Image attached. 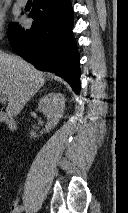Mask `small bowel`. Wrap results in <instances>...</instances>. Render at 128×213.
I'll use <instances>...</instances> for the list:
<instances>
[{"instance_id": "small-bowel-1", "label": "small bowel", "mask_w": 128, "mask_h": 213, "mask_svg": "<svg viewBox=\"0 0 128 213\" xmlns=\"http://www.w3.org/2000/svg\"><path fill=\"white\" fill-rule=\"evenodd\" d=\"M4 181V175L0 174V182ZM23 211L22 206L19 204L18 200L16 199L11 207L10 213H21Z\"/></svg>"}]
</instances>
